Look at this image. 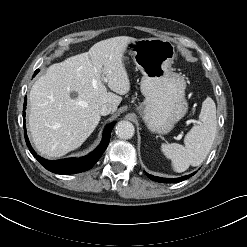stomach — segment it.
I'll return each instance as SVG.
<instances>
[{
  "instance_id": "obj_1",
  "label": "stomach",
  "mask_w": 247,
  "mask_h": 247,
  "mask_svg": "<svg viewBox=\"0 0 247 247\" xmlns=\"http://www.w3.org/2000/svg\"><path fill=\"white\" fill-rule=\"evenodd\" d=\"M126 51L143 75L140 88L145 100L137 110L151 132L169 133L188 110L185 79L171 67L174 44L161 38L135 39Z\"/></svg>"
}]
</instances>
